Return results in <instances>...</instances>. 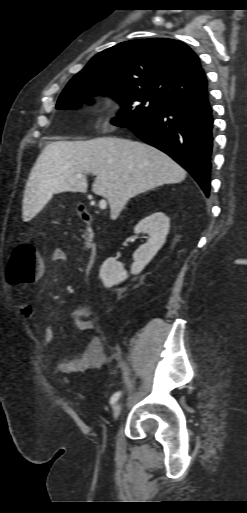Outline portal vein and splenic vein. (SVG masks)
I'll return each instance as SVG.
<instances>
[{
    "label": "portal vein and splenic vein",
    "mask_w": 247,
    "mask_h": 513,
    "mask_svg": "<svg viewBox=\"0 0 247 513\" xmlns=\"http://www.w3.org/2000/svg\"><path fill=\"white\" fill-rule=\"evenodd\" d=\"M78 176H81V174L79 173ZM106 206H107V202L106 200L102 199L100 202H99V208L100 209H106Z\"/></svg>",
    "instance_id": "obj_1"
}]
</instances>
